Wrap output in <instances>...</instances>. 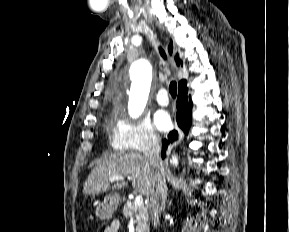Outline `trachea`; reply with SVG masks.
I'll return each instance as SVG.
<instances>
[{
    "instance_id": "trachea-1",
    "label": "trachea",
    "mask_w": 289,
    "mask_h": 232,
    "mask_svg": "<svg viewBox=\"0 0 289 232\" xmlns=\"http://www.w3.org/2000/svg\"><path fill=\"white\" fill-rule=\"evenodd\" d=\"M159 51H160L161 56H162L164 59H166L165 52H164L161 48L159 49ZM169 92H170V94H171V96H172L173 98L176 97V95H177V84H176L175 81H172V82L170 83V85H169Z\"/></svg>"
}]
</instances>
